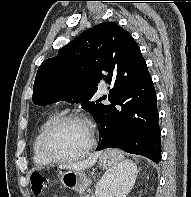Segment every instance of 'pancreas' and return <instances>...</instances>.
<instances>
[{"label":"pancreas","instance_id":"cf45deb5","mask_svg":"<svg viewBox=\"0 0 191 197\" xmlns=\"http://www.w3.org/2000/svg\"><path fill=\"white\" fill-rule=\"evenodd\" d=\"M83 197H90L88 194H85Z\"/></svg>","mask_w":191,"mask_h":197}]
</instances>
